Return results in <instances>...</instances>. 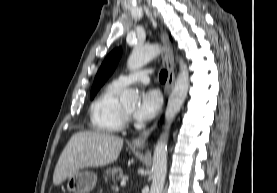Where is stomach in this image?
Segmentation results:
<instances>
[{"instance_id":"0dacf381","label":"stomach","mask_w":277,"mask_h":193,"mask_svg":"<svg viewBox=\"0 0 277 193\" xmlns=\"http://www.w3.org/2000/svg\"><path fill=\"white\" fill-rule=\"evenodd\" d=\"M97 175L91 171H81L68 177L67 189L71 193H89L96 185Z\"/></svg>"}]
</instances>
